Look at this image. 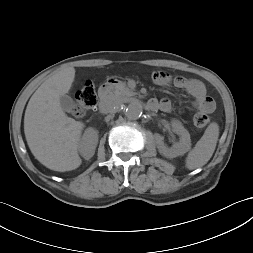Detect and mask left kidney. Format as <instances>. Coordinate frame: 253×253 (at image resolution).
Listing matches in <instances>:
<instances>
[{
    "instance_id": "5707ae66",
    "label": "left kidney",
    "mask_w": 253,
    "mask_h": 253,
    "mask_svg": "<svg viewBox=\"0 0 253 253\" xmlns=\"http://www.w3.org/2000/svg\"><path fill=\"white\" fill-rule=\"evenodd\" d=\"M173 132L180 136L179 142H176L171 148H167L163 142V138L159 134H155V140L158 151L166 158H175L184 155L191 148V139L189 132L183 125L176 120L171 122Z\"/></svg>"
}]
</instances>
